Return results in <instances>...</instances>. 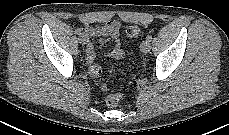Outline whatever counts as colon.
Returning a JSON list of instances; mask_svg holds the SVG:
<instances>
[{
	"instance_id": "1",
	"label": "colon",
	"mask_w": 229,
	"mask_h": 135,
	"mask_svg": "<svg viewBox=\"0 0 229 135\" xmlns=\"http://www.w3.org/2000/svg\"><path fill=\"white\" fill-rule=\"evenodd\" d=\"M138 33H139V29L136 26L127 27L125 30V35L128 38L136 37L138 35ZM90 59L91 60L94 59L93 54L90 55ZM89 72L94 78H96L101 83L102 88L104 90H106V91L109 90V86L102 82V69H101L100 65L92 62L90 67H89ZM109 103H110V105L115 106L117 103L116 98H110Z\"/></svg>"
}]
</instances>
